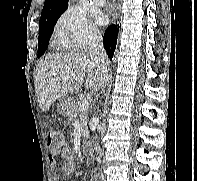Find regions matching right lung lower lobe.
<instances>
[{"label":"right lung lower lobe","mask_w":197,"mask_h":181,"mask_svg":"<svg viewBox=\"0 0 197 181\" xmlns=\"http://www.w3.org/2000/svg\"><path fill=\"white\" fill-rule=\"evenodd\" d=\"M117 36L118 26L116 24H112L106 29L103 37V45L110 59L113 57L116 48Z\"/></svg>","instance_id":"obj_1"}]
</instances>
